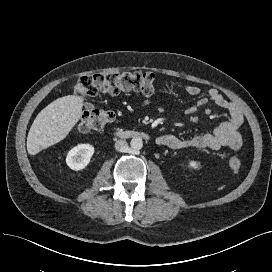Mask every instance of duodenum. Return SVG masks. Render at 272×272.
I'll list each match as a JSON object with an SVG mask.
<instances>
[{
    "mask_svg": "<svg viewBox=\"0 0 272 272\" xmlns=\"http://www.w3.org/2000/svg\"><path fill=\"white\" fill-rule=\"evenodd\" d=\"M116 135L122 138H147L145 133H140L134 130H118L116 131Z\"/></svg>",
    "mask_w": 272,
    "mask_h": 272,
    "instance_id": "obj_1",
    "label": "duodenum"
}]
</instances>
